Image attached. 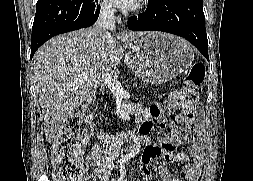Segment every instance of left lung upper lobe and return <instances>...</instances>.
<instances>
[{"label": "left lung upper lobe", "mask_w": 253, "mask_h": 181, "mask_svg": "<svg viewBox=\"0 0 253 181\" xmlns=\"http://www.w3.org/2000/svg\"><path fill=\"white\" fill-rule=\"evenodd\" d=\"M158 0H150V2L149 3H155V2H157Z\"/></svg>", "instance_id": "left-lung-upper-lobe-1"}]
</instances>
